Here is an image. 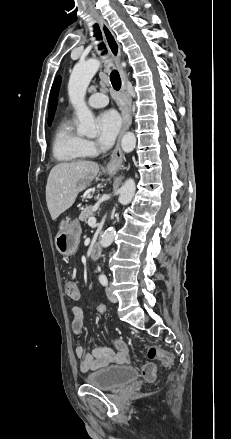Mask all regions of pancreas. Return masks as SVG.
<instances>
[{
  "label": "pancreas",
  "mask_w": 231,
  "mask_h": 439,
  "mask_svg": "<svg viewBox=\"0 0 231 439\" xmlns=\"http://www.w3.org/2000/svg\"><path fill=\"white\" fill-rule=\"evenodd\" d=\"M94 215V210L91 205L86 206L82 209L81 214L79 216V220L82 222H87V220Z\"/></svg>",
  "instance_id": "1"
}]
</instances>
